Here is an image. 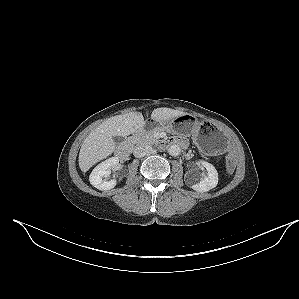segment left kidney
Segmentation results:
<instances>
[{
    "label": "left kidney",
    "instance_id": "left-kidney-1",
    "mask_svg": "<svg viewBox=\"0 0 299 299\" xmlns=\"http://www.w3.org/2000/svg\"><path fill=\"white\" fill-rule=\"evenodd\" d=\"M199 164L207 170V176L202 177L199 182H196L195 174L192 171H188L184 176L185 183L195 191L207 192L217 186L218 172L215 167L208 162L200 161Z\"/></svg>",
    "mask_w": 299,
    "mask_h": 299
}]
</instances>
